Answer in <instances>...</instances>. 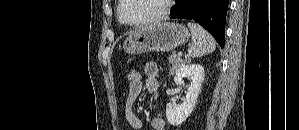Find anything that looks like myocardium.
Returning <instances> with one entry per match:
<instances>
[{"label": "myocardium", "mask_w": 299, "mask_h": 130, "mask_svg": "<svg viewBox=\"0 0 299 130\" xmlns=\"http://www.w3.org/2000/svg\"><path fill=\"white\" fill-rule=\"evenodd\" d=\"M127 0H120L119 1V5H118V9H117V16H118V20L121 24L128 26V27H132V28H141V27H146L158 22L163 21L170 13L171 8H172V4H173V0H164L165 1V5H164V9L162 10L161 13H159L158 15L141 21V22H137V23H128L123 19L122 16V10H123V6L125 4Z\"/></svg>", "instance_id": "myocardium-1"}]
</instances>
